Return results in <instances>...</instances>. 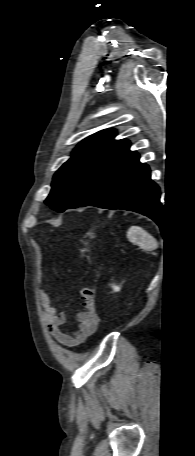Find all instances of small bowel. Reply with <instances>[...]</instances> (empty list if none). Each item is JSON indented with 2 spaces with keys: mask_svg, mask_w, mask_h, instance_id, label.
Returning a JSON list of instances; mask_svg holds the SVG:
<instances>
[{
  "mask_svg": "<svg viewBox=\"0 0 195 456\" xmlns=\"http://www.w3.org/2000/svg\"><path fill=\"white\" fill-rule=\"evenodd\" d=\"M38 295L46 327L51 336L63 346H77L96 331L99 320L95 306V293L92 289L83 288L80 291L83 310L77 314L79 326L73 332L63 328L66 323V315L52 306L48 294L40 289Z\"/></svg>",
  "mask_w": 195,
  "mask_h": 456,
  "instance_id": "obj_1",
  "label": "small bowel"
}]
</instances>
